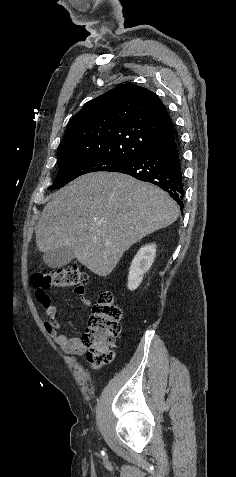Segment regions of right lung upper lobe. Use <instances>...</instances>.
Segmentation results:
<instances>
[{
  "instance_id": "cb5924a9",
  "label": "right lung upper lobe",
  "mask_w": 236,
  "mask_h": 477,
  "mask_svg": "<svg viewBox=\"0 0 236 477\" xmlns=\"http://www.w3.org/2000/svg\"><path fill=\"white\" fill-rule=\"evenodd\" d=\"M173 135L167 109L156 94L120 84L87 102L69 121L58 161L94 155L131 160Z\"/></svg>"
}]
</instances>
